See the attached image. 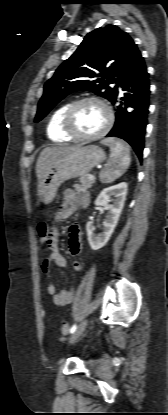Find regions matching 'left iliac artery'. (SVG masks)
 Returning a JSON list of instances; mask_svg holds the SVG:
<instances>
[{
  "mask_svg": "<svg viewBox=\"0 0 168 415\" xmlns=\"http://www.w3.org/2000/svg\"><path fill=\"white\" fill-rule=\"evenodd\" d=\"M76 328H77V325H76V324H74V325L71 327V329H70V333H74V332H75V330H76Z\"/></svg>",
  "mask_w": 168,
  "mask_h": 415,
  "instance_id": "44dca946",
  "label": "left iliac artery"
}]
</instances>
